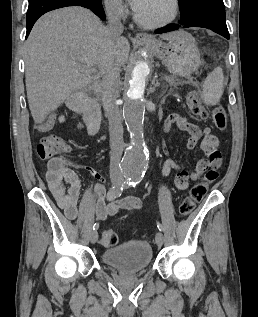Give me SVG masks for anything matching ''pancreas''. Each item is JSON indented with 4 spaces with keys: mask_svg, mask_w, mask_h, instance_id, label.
I'll return each mask as SVG.
<instances>
[{
    "mask_svg": "<svg viewBox=\"0 0 258 317\" xmlns=\"http://www.w3.org/2000/svg\"><path fill=\"white\" fill-rule=\"evenodd\" d=\"M166 82H169L171 88H177L179 82H175L174 76H166Z\"/></svg>",
    "mask_w": 258,
    "mask_h": 317,
    "instance_id": "cf45deb5",
    "label": "pancreas"
}]
</instances>
